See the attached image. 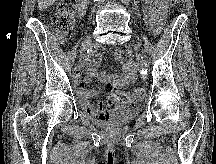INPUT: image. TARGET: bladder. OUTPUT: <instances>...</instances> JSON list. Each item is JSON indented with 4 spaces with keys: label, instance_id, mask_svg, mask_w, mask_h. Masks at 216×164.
<instances>
[{
    "label": "bladder",
    "instance_id": "31cf9c89",
    "mask_svg": "<svg viewBox=\"0 0 216 164\" xmlns=\"http://www.w3.org/2000/svg\"><path fill=\"white\" fill-rule=\"evenodd\" d=\"M138 112V108L124 106L116 109L114 116L104 121H97V124L107 127L122 126L125 125Z\"/></svg>",
    "mask_w": 216,
    "mask_h": 164
}]
</instances>
